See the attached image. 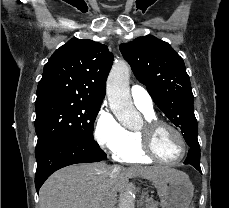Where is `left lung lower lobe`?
<instances>
[{
  "instance_id": "0a47b994",
  "label": "left lung lower lobe",
  "mask_w": 229,
  "mask_h": 208,
  "mask_svg": "<svg viewBox=\"0 0 229 208\" xmlns=\"http://www.w3.org/2000/svg\"><path fill=\"white\" fill-rule=\"evenodd\" d=\"M197 133L198 132H190L183 134L186 143L190 146V150L184 164H191L200 173H202L200 168V146L197 140Z\"/></svg>"
}]
</instances>
